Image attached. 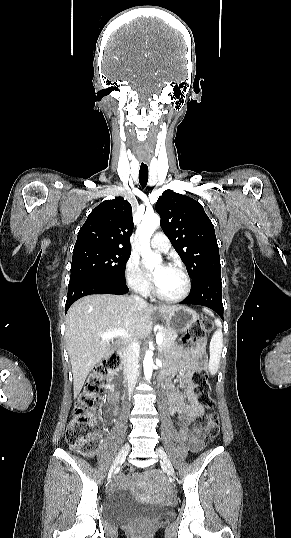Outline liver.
<instances>
[{
	"mask_svg": "<svg viewBox=\"0 0 291 538\" xmlns=\"http://www.w3.org/2000/svg\"><path fill=\"white\" fill-rule=\"evenodd\" d=\"M177 306L138 305L128 296L95 294L75 302L67 312L65 341L73 373V391L77 397L92 368L108 358L115 348L132 340H141L152 329V313L168 314ZM124 330L126 336L115 341L101 334Z\"/></svg>",
	"mask_w": 291,
	"mask_h": 538,
	"instance_id": "6515ba94",
	"label": "liver"
}]
</instances>
